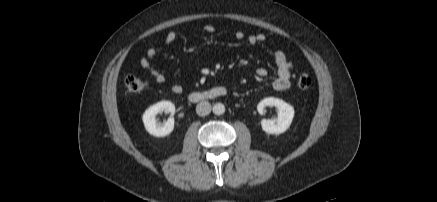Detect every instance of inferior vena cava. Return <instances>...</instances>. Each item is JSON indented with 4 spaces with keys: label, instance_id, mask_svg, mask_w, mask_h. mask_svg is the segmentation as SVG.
Returning <instances> with one entry per match:
<instances>
[{
    "label": "inferior vena cava",
    "instance_id": "1",
    "mask_svg": "<svg viewBox=\"0 0 437 202\" xmlns=\"http://www.w3.org/2000/svg\"><path fill=\"white\" fill-rule=\"evenodd\" d=\"M211 104L208 101H201L196 106V113L199 116H206L211 112Z\"/></svg>",
    "mask_w": 437,
    "mask_h": 202
}]
</instances>
